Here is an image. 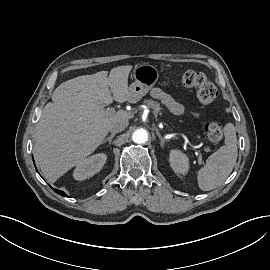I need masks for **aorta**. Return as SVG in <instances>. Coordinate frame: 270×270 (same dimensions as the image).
Here are the masks:
<instances>
[{
  "instance_id": "1",
  "label": "aorta",
  "mask_w": 270,
  "mask_h": 270,
  "mask_svg": "<svg viewBox=\"0 0 270 270\" xmlns=\"http://www.w3.org/2000/svg\"><path fill=\"white\" fill-rule=\"evenodd\" d=\"M132 140L137 144L145 143L148 140L147 131L143 128L135 130L132 134Z\"/></svg>"
}]
</instances>
